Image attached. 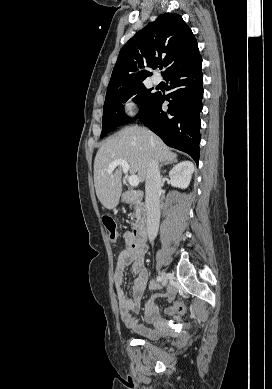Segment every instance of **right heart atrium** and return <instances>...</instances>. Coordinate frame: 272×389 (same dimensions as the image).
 <instances>
[{"label":"right heart atrium","mask_w":272,"mask_h":389,"mask_svg":"<svg viewBox=\"0 0 272 389\" xmlns=\"http://www.w3.org/2000/svg\"><path fill=\"white\" fill-rule=\"evenodd\" d=\"M123 109L127 115L132 116L139 111V105L134 99H129L124 103Z\"/></svg>","instance_id":"d8ad5b80"}]
</instances>
